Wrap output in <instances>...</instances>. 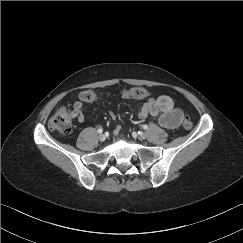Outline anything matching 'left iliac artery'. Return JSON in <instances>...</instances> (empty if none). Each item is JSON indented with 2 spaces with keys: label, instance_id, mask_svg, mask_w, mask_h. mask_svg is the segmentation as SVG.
Instances as JSON below:
<instances>
[{
  "label": "left iliac artery",
  "instance_id": "1",
  "mask_svg": "<svg viewBox=\"0 0 243 243\" xmlns=\"http://www.w3.org/2000/svg\"><path fill=\"white\" fill-rule=\"evenodd\" d=\"M143 129H145V130L148 129V125H146V124L143 125Z\"/></svg>",
  "mask_w": 243,
  "mask_h": 243
}]
</instances>
